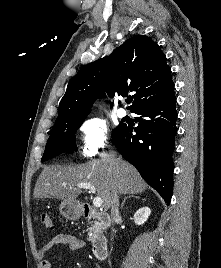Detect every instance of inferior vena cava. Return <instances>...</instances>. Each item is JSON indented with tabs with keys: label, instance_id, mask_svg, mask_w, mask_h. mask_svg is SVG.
<instances>
[{
	"label": "inferior vena cava",
	"instance_id": "inferior-vena-cava-1",
	"mask_svg": "<svg viewBox=\"0 0 221 268\" xmlns=\"http://www.w3.org/2000/svg\"><path fill=\"white\" fill-rule=\"evenodd\" d=\"M119 196L118 192H114L111 200V217L113 221L115 222L119 217ZM115 229L112 228V232H114Z\"/></svg>",
	"mask_w": 221,
	"mask_h": 268
}]
</instances>
